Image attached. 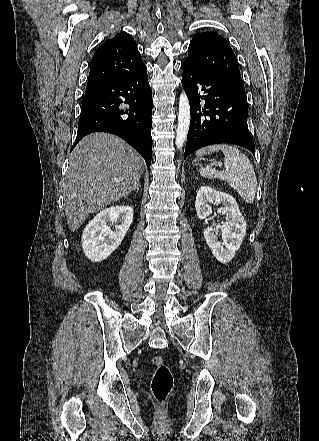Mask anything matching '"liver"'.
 Returning a JSON list of instances; mask_svg holds the SVG:
<instances>
[{
  "instance_id": "1",
  "label": "liver",
  "mask_w": 319,
  "mask_h": 441,
  "mask_svg": "<svg viewBox=\"0 0 319 441\" xmlns=\"http://www.w3.org/2000/svg\"><path fill=\"white\" fill-rule=\"evenodd\" d=\"M145 167L139 153L119 137L85 136L70 155L64 182L69 229L77 230L89 215L129 195Z\"/></svg>"
}]
</instances>
